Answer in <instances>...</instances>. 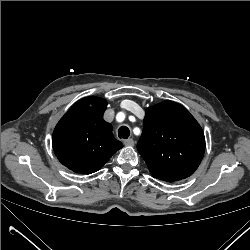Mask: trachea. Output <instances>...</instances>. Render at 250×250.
I'll list each match as a JSON object with an SVG mask.
<instances>
[{"mask_svg": "<svg viewBox=\"0 0 250 250\" xmlns=\"http://www.w3.org/2000/svg\"><path fill=\"white\" fill-rule=\"evenodd\" d=\"M130 135V130L127 126H121L118 130V136L121 139H127Z\"/></svg>", "mask_w": 250, "mask_h": 250, "instance_id": "3493384b", "label": "trachea"}]
</instances>
